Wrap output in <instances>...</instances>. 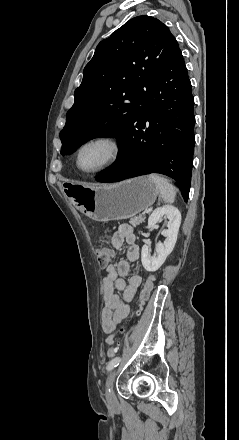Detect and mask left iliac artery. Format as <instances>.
I'll return each mask as SVG.
<instances>
[{
	"label": "left iliac artery",
	"instance_id": "44dca946",
	"mask_svg": "<svg viewBox=\"0 0 239 440\" xmlns=\"http://www.w3.org/2000/svg\"><path fill=\"white\" fill-rule=\"evenodd\" d=\"M121 361L120 357H115L113 358L107 365V371H111L114 367H116Z\"/></svg>",
	"mask_w": 239,
	"mask_h": 440
}]
</instances>
